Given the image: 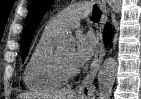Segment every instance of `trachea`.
Segmentation results:
<instances>
[{
  "label": "trachea",
  "instance_id": "1",
  "mask_svg": "<svg viewBox=\"0 0 141 99\" xmlns=\"http://www.w3.org/2000/svg\"><path fill=\"white\" fill-rule=\"evenodd\" d=\"M100 18H101V10L96 5H94L92 12V20L94 22H98Z\"/></svg>",
  "mask_w": 141,
  "mask_h": 99
}]
</instances>
